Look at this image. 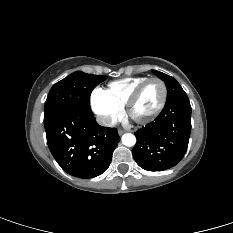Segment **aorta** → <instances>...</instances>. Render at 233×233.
<instances>
[{"label": "aorta", "mask_w": 233, "mask_h": 233, "mask_svg": "<svg viewBox=\"0 0 233 233\" xmlns=\"http://www.w3.org/2000/svg\"><path fill=\"white\" fill-rule=\"evenodd\" d=\"M122 144L127 147H132L136 144V137L131 133H126L122 136Z\"/></svg>", "instance_id": "aorta-1"}]
</instances>
